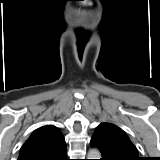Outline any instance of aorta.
<instances>
[{
    "label": "aorta",
    "mask_w": 160,
    "mask_h": 160,
    "mask_svg": "<svg viewBox=\"0 0 160 160\" xmlns=\"http://www.w3.org/2000/svg\"><path fill=\"white\" fill-rule=\"evenodd\" d=\"M87 157H88V159H100L101 158V154H100L99 150H97V149H91L88 152Z\"/></svg>",
    "instance_id": "obj_1"
}]
</instances>
